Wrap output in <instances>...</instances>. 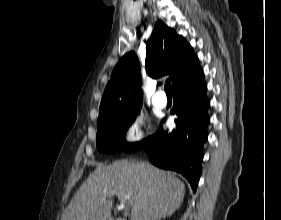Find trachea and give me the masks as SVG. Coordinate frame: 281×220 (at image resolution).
I'll return each instance as SVG.
<instances>
[{
	"label": "trachea",
	"mask_w": 281,
	"mask_h": 220,
	"mask_svg": "<svg viewBox=\"0 0 281 220\" xmlns=\"http://www.w3.org/2000/svg\"><path fill=\"white\" fill-rule=\"evenodd\" d=\"M164 89H165L167 96L171 97L172 91H171V84L169 82L165 84Z\"/></svg>",
	"instance_id": "obj_1"
}]
</instances>
